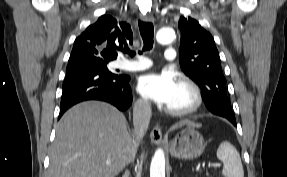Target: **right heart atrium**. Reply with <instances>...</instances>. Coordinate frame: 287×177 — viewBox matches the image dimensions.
<instances>
[{
  "instance_id": "obj_1",
  "label": "right heart atrium",
  "mask_w": 287,
  "mask_h": 177,
  "mask_svg": "<svg viewBox=\"0 0 287 177\" xmlns=\"http://www.w3.org/2000/svg\"><path fill=\"white\" fill-rule=\"evenodd\" d=\"M137 107L140 111H145L148 108V104L145 100L140 99L137 102Z\"/></svg>"
}]
</instances>
